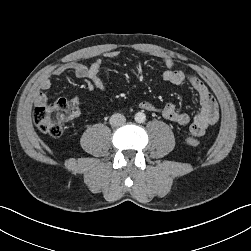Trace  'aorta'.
Returning a JSON list of instances; mask_svg holds the SVG:
<instances>
[{
	"label": "aorta",
	"mask_w": 251,
	"mask_h": 251,
	"mask_svg": "<svg viewBox=\"0 0 251 251\" xmlns=\"http://www.w3.org/2000/svg\"><path fill=\"white\" fill-rule=\"evenodd\" d=\"M137 123H143L146 120V115L143 112H138L134 117Z\"/></svg>",
	"instance_id": "obj_1"
}]
</instances>
